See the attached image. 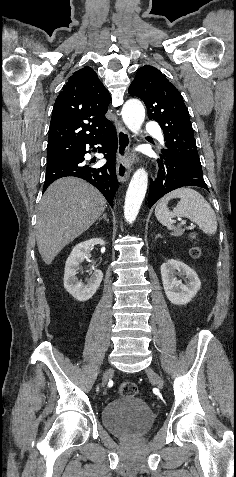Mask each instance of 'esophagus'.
<instances>
[{
  "instance_id": "esophagus-1",
  "label": "esophagus",
  "mask_w": 236,
  "mask_h": 477,
  "mask_svg": "<svg viewBox=\"0 0 236 477\" xmlns=\"http://www.w3.org/2000/svg\"><path fill=\"white\" fill-rule=\"evenodd\" d=\"M116 130L118 137L116 173L118 180L125 182L131 173V161L129 159L131 138L127 129L118 121H116Z\"/></svg>"
}]
</instances>
